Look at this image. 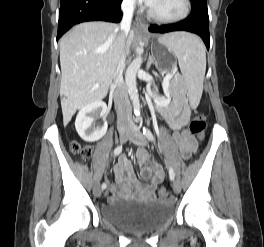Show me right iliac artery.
Returning a JSON list of instances; mask_svg holds the SVG:
<instances>
[{
    "label": "right iliac artery",
    "instance_id": "1",
    "mask_svg": "<svg viewBox=\"0 0 264 247\" xmlns=\"http://www.w3.org/2000/svg\"><path fill=\"white\" fill-rule=\"evenodd\" d=\"M122 145H120V146H117L116 148H115V150H114V155L115 156H118L121 152H122ZM102 189L104 190L106 187H107V185H106V183H103L102 184Z\"/></svg>",
    "mask_w": 264,
    "mask_h": 247
}]
</instances>
